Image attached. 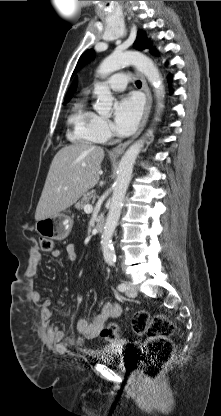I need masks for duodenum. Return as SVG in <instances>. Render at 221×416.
<instances>
[{"instance_id":"1","label":"duodenum","mask_w":221,"mask_h":416,"mask_svg":"<svg viewBox=\"0 0 221 416\" xmlns=\"http://www.w3.org/2000/svg\"><path fill=\"white\" fill-rule=\"evenodd\" d=\"M105 229V218L103 216H99L96 221V231L97 233H102Z\"/></svg>"}]
</instances>
